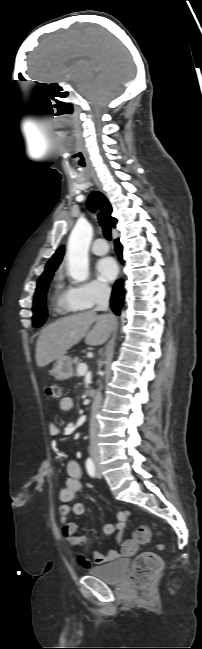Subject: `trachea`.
<instances>
[{"label":"trachea","instance_id":"trachea-1","mask_svg":"<svg viewBox=\"0 0 202 649\" xmlns=\"http://www.w3.org/2000/svg\"><path fill=\"white\" fill-rule=\"evenodd\" d=\"M98 219H99L100 226L103 229L104 237L107 240H111V228H110V226L108 225V223L105 221L104 217L100 213L98 214Z\"/></svg>","mask_w":202,"mask_h":649}]
</instances>
